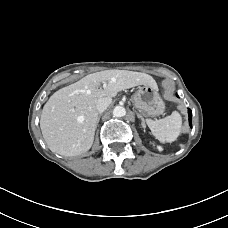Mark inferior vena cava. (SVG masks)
Returning <instances> with one entry per match:
<instances>
[{"label":"inferior vena cava","instance_id":"1","mask_svg":"<svg viewBox=\"0 0 228 228\" xmlns=\"http://www.w3.org/2000/svg\"><path fill=\"white\" fill-rule=\"evenodd\" d=\"M111 102H112V99L111 98H108V97L99 99L97 101V103H96V110L99 113L104 112L109 107V105L111 104Z\"/></svg>","mask_w":228,"mask_h":228}]
</instances>
